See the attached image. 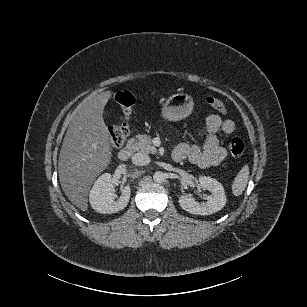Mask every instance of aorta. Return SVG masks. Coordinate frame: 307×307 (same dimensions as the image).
<instances>
[{
  "label": "aorta",
  "instance_id": "aorta-1",
  "mask_svg": "<svg viewBox=\"0 0 307 307\" xmlns=\"http://www.w3.org/2000/svg\"><path fill=\"white\" fill-rule=\"evenodd\" d=\"M166 179V175L162 171H156L153 175V180L157 183H162Z\"/></svg>",
  "mask_w": 307,
  "mask_h": 307
}]
</instances>
